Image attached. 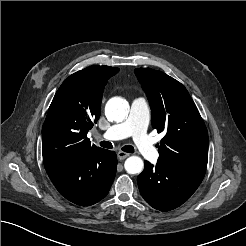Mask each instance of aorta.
I'll list each match as a JSON object with an SVG mask.
<instances>
[{
    "label": "aorta",
    "mask_w": 246,
    "mask_h": 246,
    "mask_svg": "<svg viewBox=\"0 0 246 246\" xmlns=\"http://www.w3.org/2000/svg\"><path fill=\"white\" fill-rule=\"evenodd\" d=\"M129 105L120 97L110 99L105 106V114L111 121L121 122L128 115ZM125 170L129 174H139L144 168L143 160L138 156H130L124 163Z\"/></svg>",
    "instance_id": "aorta-1"
}]
</instances>
